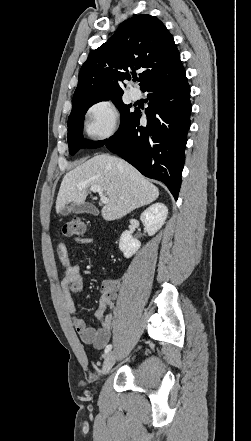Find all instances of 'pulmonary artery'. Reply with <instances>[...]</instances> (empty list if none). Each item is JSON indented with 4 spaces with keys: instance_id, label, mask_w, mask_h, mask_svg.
<instances>
[{
    "instance_id": "1",
    "label": "pulmonary artery",
    "mask_w": 251,
    "mask_h": 441,
    "mask_svg": "<svg viewBox=\"0 0 251 441\" xmlns=\"http://www.w3.org/2000/svg\"><path fill=\"white\" fill-rule=\"evenodd\" d=\"M129 96L132 100H138L141 97V92L137 88H131Z\"/></svg>"
}]
</instances>
